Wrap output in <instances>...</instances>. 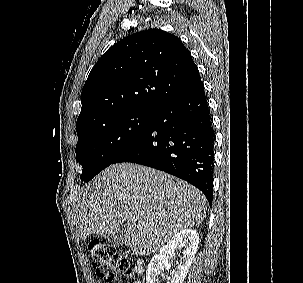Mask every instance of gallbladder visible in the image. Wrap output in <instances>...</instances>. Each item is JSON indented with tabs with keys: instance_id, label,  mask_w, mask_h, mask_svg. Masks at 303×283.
Masks as SVG:
<instances>
[{
	"instance_id": "1",
	"label": "gallbladder",
	"mask_w": 303,
	"mask_h": 283,
	"mask_svg": "<svg viewBox=\"0 0 303 283\" xmlns=\"http://www.w3.org/2000/svg\"><path fill=\"white\" fill-rule=\"evenodd\" d=\"M124 232V228H120L115 235L107 236V240L111 242L114 246L122 245V235Z\"/></svg>"
}]
</instances>
